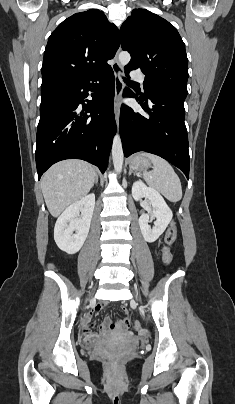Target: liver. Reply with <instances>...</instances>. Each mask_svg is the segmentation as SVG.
<instances>
[{
    "label": "liver",
    "instance_id": "obj_1",
    "mask_svg": "<svg viewBox=\"0 0 235 404\" xmlns=\"http://www.w3.org/2000/svg\"><path fill=\"white\" fill-rule=\"evenodd\" d=\"M96 176V169L83 160H63L49 168L42 176L41 189L50 214L58 217L87 195Z\"/></svg>",
    "mask_w": 235,
    "mask_h": 404
}]
</instances>
